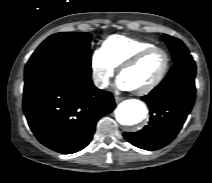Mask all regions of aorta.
I'll return each instance as SVG.
<instances>
[{
	"instance_id": "obj_1",
	"label": "aorta",
	"mask_w": 212,
	"mask_h": 183,
	"mask_svg": "<svg viewBox=\"0 0 212 183\" xmlns=\"http://www.w3.org/2000/svg\"><path fill=\"white\" fill-rule=\"evenodd\" d=\"M116 119L122 125L132 126L142 122L147 115L145 105L137 99L123 101L116 109Z\"/></svg>"
}]
</instances>
